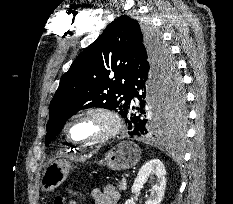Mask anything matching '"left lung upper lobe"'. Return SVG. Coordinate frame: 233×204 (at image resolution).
Returning a JSON list of instances; mask_svg holds the SVG:
<instances>
[{"label": "left lung upper lobe", "mask_w": 233, "mask_h": 204, "mask_svg": "<svg viewBox=\"0 0 233 204\" xmlns=\"http://www.w3.org/2000/svg\"><path fill=\"white\" fill-rule=\"evenodd\" d=\"M156 72L164 99L166 127H178L186 116L181 79L169 48L147 25L123 15L112 21L61 77L50 103L45 145L61 131L66 121L81 109L102 107L124 115L128 107L130 70L139 51Z\"/></svg>", "instance_id": "5c2ea615"}]
</instances>
